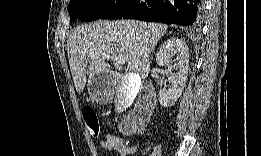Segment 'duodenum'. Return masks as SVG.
<instances>
[{
    "label": "duodenum",
    "mask_w": 261,
    "mask_h": 156,
    "mask_svg": "<svg viewBox=\"0 0 261 156\" xmlns=\"http://www.w3.org/2000/svg\"><path fill=\"white\" fill-rule=\"evenodd\" d=\"M155 91L153 87L146 86L142 91V96L137 104L136 110L132 115L133 122H139L152 114L154 109Z\"/></svg>",
    "instance_id": "1"
}]
</instances>
